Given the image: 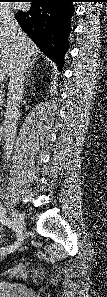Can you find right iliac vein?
<instances>
[{"mask_svg":"<svg viewBox=\"0 0 107 297\" xmlns=\"http://www.w3.org/2000/svg\"><path fill=\"white\" fill-rule=\"evenodd\" d=\"M12 217L16 227L22 232L25 229V222H24L23 215L16 209H12ZM22 241H23V236L18 237L17 241L15 242L14 245H12L11 249L9 251L3 252L1 255L4 257L10 254L11 252H14L16 249L20 247Z\"/></svg>","mask_w":107,"mask_h":297,"instance_id":"obj_1","label":"right iliac vein"}]
</instances>
